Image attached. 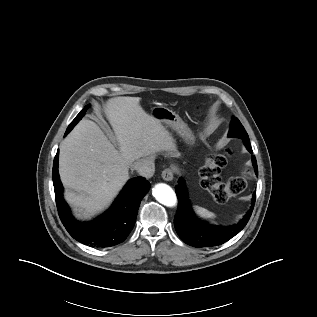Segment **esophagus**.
Masks as SVG:
<instances>
[{"label": "esophagus", "mask_w": 317, "mask_h": 317, "mask_svg": "<svg viewBox=\"0 0 317 317\" xmlns=\"http://www.w3.org/2000/svg\"><path fill=\"white\" fill-rule=\"evenodd\" d=\"M162 178L164 181H172L174 178V171L171 168H166L162 172Z\"/></svg>", "instance_id": "34e87169"}]
</instances>
